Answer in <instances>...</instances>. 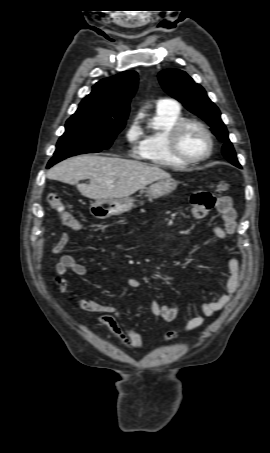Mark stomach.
I'll use <instances>...</instances> for the list:
<instances>
[{"label":"stomach","instance_id":"stomach-1","mask_svg":"<svg viewBox=\"0 0 270 453\" xmlns=\"http://www.w3.org/2000/svg\"><path fill=\"white\" fill-rule=\"evenodd\" d=\"M177 182L172 178H164L152 184L148 194L152 198L164 196L172 192ZM134 199L125 197L121 199H98L90 205L89 211L97 219H106L114 215H120L132 209Z\"/></svg>","mask_w":270,"mask_h":453}]
</instances>
